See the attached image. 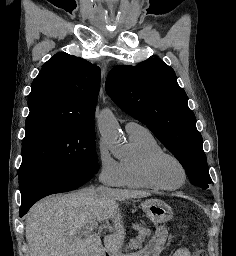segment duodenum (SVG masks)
I'll use <instances>...</instances> for the list:
<instances>
[{
  "label": "duodenum",
  "instance_id": "obj_1",
  "mask_svg": "<svg viewBox=\"0 0 236 256\" xmlns=\"http://www.w3.org/2000/svg\"><path fill=\"white\" fill-rule=\"evenodd\" d=\"M112 250L110 247L108 246H104L101 251H100V254L99 256H112Z\"/></svg>",
  "mask_w": 236,
  "mask_h": 256
}]
</instances>
